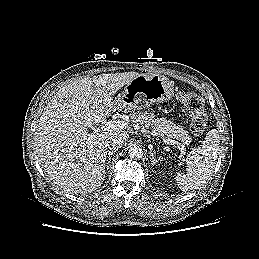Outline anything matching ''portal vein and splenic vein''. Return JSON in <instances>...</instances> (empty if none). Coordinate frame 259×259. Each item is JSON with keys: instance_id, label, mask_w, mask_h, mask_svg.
Here are the masks:
<instances>
[{"instance_id": "portal-vein-and-splenic-vein-1", "label": "portal vein and splenic vein", "mask_w": 259, "mask_h": 259, "mask_svg": "<svg viewBox=\"0 0 259 259\" xmlns=\"http://www.w3.org/2000/svg\"><path fill=\"white\" fill-rule=\"evenodd\" d=\"M126 129L128 128V123L125 121L120 120H111L108 122H105L100 129H97L94 131V133H97L98 131H107V130H114V129ZM164 142L168 145L178 146L182 153H184V145L180 144L178 141L171 140V139H164Z\"/></svg>"}]
</instances>
